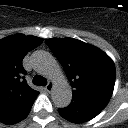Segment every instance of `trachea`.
Listing matches in <instances>:
<instances>
[{
    "mask_svg": "<svg viewBox=\"0 0 128 128\" xmlns=\"http://www.w3.org/2000/svg\"><path fill=\"white\" fill-rule=\"evenodd\" d=\"M33 84L37 85V86H46L47 80H46V78H44L40 75H35L33 78Z\"/></svg>",
    "mask_w": 128,
    "mask_h": 128,
    "instance_id": "obj_1",
    "label": "trachea"
}]
</instances>
